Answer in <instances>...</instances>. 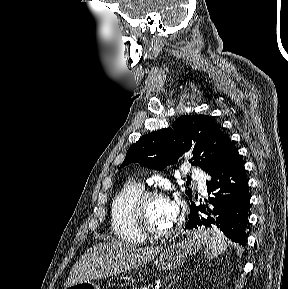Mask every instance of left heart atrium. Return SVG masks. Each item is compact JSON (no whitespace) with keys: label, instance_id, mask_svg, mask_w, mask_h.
Wrapping results in <instances>:
<instances>
[{"label":"left heart atrium","instance_id":"1","mask_svg":"<svg viewBox=\"0 0 288 289\" xmlns=\"http://www.w3.org/2000/svg\"><path fill=\"white\" fill-rule=\"evenodd\" d=\"M167 204V215L171 223L175 222L179 213V207L176 202L166 200Z\"/></svg>","mask_w":288,"mask_h":289}]
</instances>
